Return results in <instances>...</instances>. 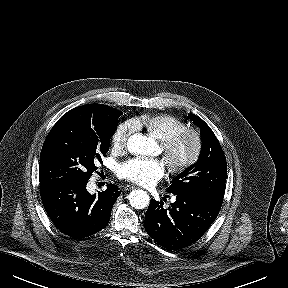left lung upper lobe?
<instances>
[{"label":"left lung upper lobe","mask_w":288,"mask_h":288,"mask_svg":"<svg viewBox=\"0 0 288 288\" xmlns=\"http://www.w3.org/2000/svg\"><path fill=\"white\" fill-rule=\"evenodd\" d=\"M188 118L200 128V156L197 162L172 180L168 192L174 195L202 197L222 205L227 176L225 155L210 127L192 113Z\"/></svg>","instance_id":"obj_1"}]
</instances>
